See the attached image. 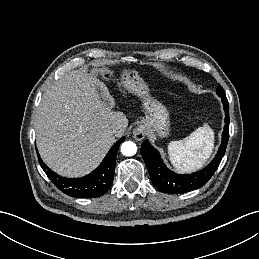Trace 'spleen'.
Instances as JSON below:
<instances>
[{"label":"spleen","instance_id":"1","mask_svg":"<svg viewBox=\"0 0 259 259\" xmlns=\"http://www.w3.org/2000/svg\"><path fill=\"white\" fill-rule=\"evenodd\" d=\"M214 148V132L204 124L182 140L168 145L169 159L179 172H190L202 167Z\"/></svg>","mask_w":259,"mask_h":259}]
</instances>
